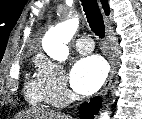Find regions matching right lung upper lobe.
Segmentation results:
<instances>
[{"label": "right lung upper lobe", "instance_id": "right-lung-upper-lobe-1", "mask_svg": "<svg viewBox=\"0 0 142 119\" xmlns=\"http://www.w3.org/2000/svg\"><path fill=\"white\" fill-rule=\"evenodd\" d=\"M101 2H102L103 8H104L106 14L108 15L109 14V7H108L107 0H101Z\"/></svg>", "mask_w": 142, "mask_h": 119}]
</instances>
